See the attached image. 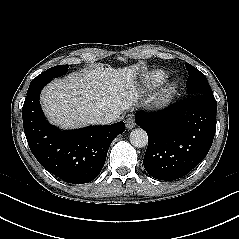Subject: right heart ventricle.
<instances>
[{
    "instance_id": "e07e8e85",
    "label": "right heart ventricle",
    "mask_w": 239,
    "mask_h": 239,
    "mask_svg": "<svg viewBox=\"0 0 239 239\" xmlns=\"http://www.w3.org/2000/svg\"><path fill=\"white\" fill-rule=\"evenodd\" d=\"M167 78V73L163 70H154L149 72L144 79V84L147 89H153L162 84Z\"/></svg>"
}]
</instances>
